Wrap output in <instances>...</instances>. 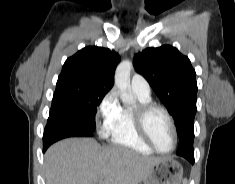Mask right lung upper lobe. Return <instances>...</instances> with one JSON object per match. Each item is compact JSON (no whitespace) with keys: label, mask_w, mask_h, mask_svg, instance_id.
<instances>
[{"label":"right lung upper lobe","mask_w":235,"mask_h":184,"mask_svg":"<svg viewBox=\"0 0 235 184\" xmlns=\"http://www.w3.org/2000/svg\"><path fill=\"white\" fill-rule=\"evenodd\" d=\"M120 56L103 47L88 46L69 57L58 77L56 90L73 87H99L110 90Z\"/></svg>","instance_id":"right-lung-upper-lobe-1"}]
</instances>
